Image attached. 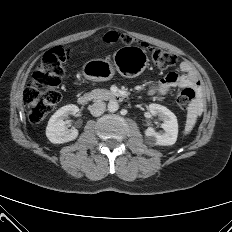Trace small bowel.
<instances>
[{
  "label": "small bowel",
  "instance_id": "small-bowel-1",
  "mask_svg": "<svg viewBox=\"0 0 232 232\" xmlns=\"http://www.w3.org/2000/svg\"><path fill=\"white\" fill-rule=\"evenodd\" d=\"M180 73L170 72L166 74L156 85L150 88V93L166 95L172 88H195L201 92V82L197 72L188 60H183L179 66Z\"/></svg>",
  "mask_w": 232,
  "mask_h": 232
}]
</instances>
